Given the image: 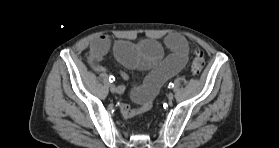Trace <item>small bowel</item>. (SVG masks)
Returning a JSON list of instances; mask_svg holds the SVG:
<instances>
[{"instance_id": "small-bowel-1", "label": "small bowel", "mask_w": 279, "mask_h": 148, "mask_svg": "<svg viewBox=\"0 0 279 148\" xmlns=\"http://www.w3.org/2000/svg\"><path fill=\"white\" fill-rule=\"evenodd\" d=\"M164 42L170 51L167 56H164L161 44L154 40H145L137 45L127 41H118L114 44V53L120 63L129 69L147 72L143 84L134 88L131 92V98L137 104V107L121 105V112L124 117L130 118L147 111L161 86L186 65L189 45L185 37L177 33H171L165 37ZM110 48L111 41L106 35H100L92 40L88 63L95 71H106L101 65V60ZM120 76L127 79V75L123 72L120 73Z\"/></svg>"}]
</instances>
